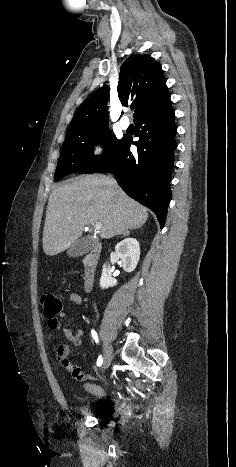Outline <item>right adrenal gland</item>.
Here are the masks:
<instances>
[{"instance_id":"right-adrenal-gland-1","label":"right adrenal gland","mask_w":236,"mask_h":467,"mask_svg":"<svg viewBox=\"0 0 236 467\" xmlns=\"http://www.w3.org/2000/svg\"><path fill=\"white\" fill-rule=\"evenodd\" d=\"M134 228H137V227H134ZM133 228H130L129 230H124L122 232H120L118 235H124V236H128L130 234V230H132Z\"/></svg>"}]
</instances>
